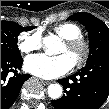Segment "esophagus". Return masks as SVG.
Masks as SVG:
<instances>
[{"label": "esophagus", "instance_id": "esophagus-1", "mask_svg": "<svg viewBox=\"0 0 109 109\" xmlns=\"http://www.w3.org/2000/svg\"><path fill=\"white\" fill-rule=\"evenodd\" d=\"M41 83H42L43 85H49L51 82H50V81H46V80H42Z\"/></svg>", "mask_w": 109, "mask_h": 109}]
</instances>
